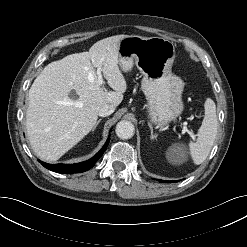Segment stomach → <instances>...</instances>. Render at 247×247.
<instances>
[{
	"label": "stomach",
	"instance_id": "obj_1",
	"mask_svg": "<svg viewBox=\"0 0 247 247\" xmlns=\"http://www.w3.org/2000/svg\"><path fill=\"white\" fill-rule=\"evenodd\" d=\"M119 64L124 72L135 64L143 75L141 88L152 123L165 127L184 110L185 83L172 73L173 42L161 37L126 36L119 42Z\"/></svg>",
	"mask_w": 247,
	"mask_h": 247
}]
</instances>
